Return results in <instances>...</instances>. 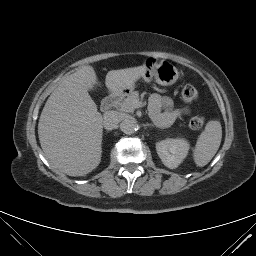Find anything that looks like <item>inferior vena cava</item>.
Segmentation results:
<instances>
[{
    "label": "inferior vena cava",
    "mask_w": 256,
    "mask_h": 256,
    "mask_svg": "<svg viewBox=\"0 0 256 256\" xmlns=\"http://www.w3.org/2000/svg\"><path fill=\"white\" fill-rule=\"evenodd\" d=\"M120 115L116 111H108L104 114L103 126L106 130L111 131L118 127Z\"/></svg>",
    "instance_id": "inferior-vena-cava-1"
}]
</instances>
